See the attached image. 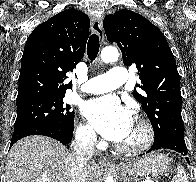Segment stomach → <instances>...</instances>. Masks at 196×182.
I'll use <instances>...</instances> for the list:
<instances>
[{"label":"stomach","mask_w":196,"mask_h":182,"mask_svg":"<svg viewBox=\"0 0 196 182\" xmlns=\"http://www.w3.org/2000/svg\"><path fill=\"white\" fill-rule=\"evenodd\" d=\"M170 166L169 158L162 153H151L134 159L120 168V176L124 182L138 180L142 176H161L167 173Z\"/></svg>","instance_id":"obj_1"}]
</instances>
